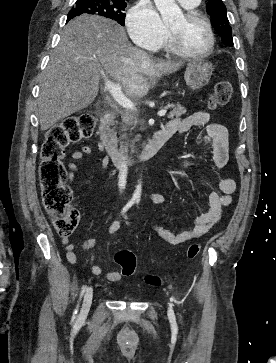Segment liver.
<instances>
[{"label":"liver","mask_w":276,"mask_h":363,"mask_svg":"<svg viewBox=\"0 0 276 363\" xmlns=\"http://www.w3.org/2000/svg\"><path fill=\"white\" fill-rule=\"evenodd\" d=\"M182 65L152 59L133 47L124 28L110 19L86 14L76 17L64 28L41 76V130L88 107L98 94L103 74L121 83L126 96L144 97L157 79Z\"/></svg>","instance_id":"obj_1"}]
</instances>
